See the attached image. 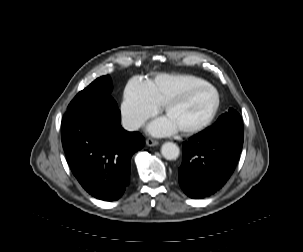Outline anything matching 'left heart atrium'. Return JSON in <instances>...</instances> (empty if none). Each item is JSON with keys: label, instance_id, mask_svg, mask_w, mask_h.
I'll list each match as a JSON object with an SVG mask.
<instances>
[{"label": "left heart atrium", "instance_id": "1", "mask_svg": "<svg viewBox=\"0 0 303 252\" xmlns=\"http://www.w3.org/2000/svg\"><path fill=\"white\" fill-rule=\"evenodd\" d=\"M175 125L167 118L160 117L153 120L147 127V131L153 136H167L175 132Z\"/></svg>", "mask_w": 303, "mask_h": 252}]
</instances>
